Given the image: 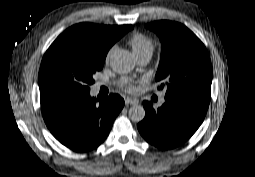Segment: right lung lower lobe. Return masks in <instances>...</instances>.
<instances>
[{
    "label": "right lung lower lobe",
    "mask_w": 255,
    "mask_h": 177,
    "mask_svg": "<svg viewBox=\"0 0 255 177\" xmlns=\"http://www.w3.org/2000/svg\"><path fill=\"white\" fill-rule=\"evenodd\" d=\"M42 115L51 133L66 147L84 152L101 144L124 106L118 94L99 100L90 91L40 96Z\"/></svg>",
    "instance_id": "obj_1"
}]
</instances>
